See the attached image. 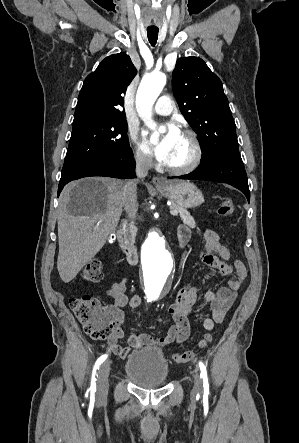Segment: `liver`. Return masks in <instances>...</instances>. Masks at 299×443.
Returning <instances> with one entry per match:
<instances>
[{
    "instance_id": "1",
    "label": "liver",
    "mask_w": 299,
    "mask_h": 443,
    "mask_svg": "<svg viewBox=\"0 0 299 443\" xmlns=\"http://www.w3.org/2000/svg\"><path fill=\"white\" fill-rule=\"evenodd\" d=\"M124 184L112 178H88L63 189L57 217V269L63 282L73 280L115 231L125 205Z\"/></svg>"
}]
</instances>
